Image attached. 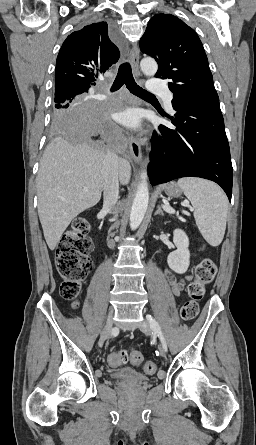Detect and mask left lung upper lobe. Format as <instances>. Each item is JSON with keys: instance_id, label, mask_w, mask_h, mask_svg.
<instances>
[{"instance_id": "left-lung-upper-lobe-1", "label": "left lung upper lobe", "mask_w": 256, "mask_h": 445, "mask_svg": "<svg viewBox=\"0 0 256 445\" xmlns=\"http://www.w3.org/2000/svg\"><path fill=\"white\" fill-rule=\"evenodd\" d=\"M140 49L157 61L156 77L170 80L173 99L219 106L203 45L183 21L171 14L153 16Z\"/></svg>"}]
</instances>
